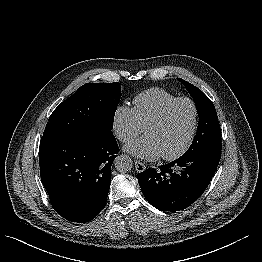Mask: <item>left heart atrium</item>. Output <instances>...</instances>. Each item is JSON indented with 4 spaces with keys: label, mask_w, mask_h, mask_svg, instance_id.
<instances>
[{
    "label": "left heart atrium",
    "mask_w": 262,
    "mask_h": 262,
    "mask_svg": "<svg viewBox=\"0 0 262 262\" xmlns=\"http://www.w3.org/2000/svg\"><path fill=\"white\" fill-rule=\"evenodd\" d=\"M126 150L133 156L143 160H156L162 156L157 142L149 136L129 143Z\"/></svg>",
    "instance_id": "1"
}]
</instances>
